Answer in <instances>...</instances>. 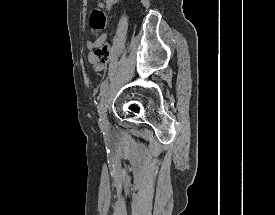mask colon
Wrapping results in <instances>:
<instances>
[{
	"label": "colon",
	"mask_w": 275,
	"mask_h": 215,
	"mask_svg": "<svg viewBox=\"0 0 275 215\" xmlns=\"http://www.w3.org/2000/svg\"><path fill=\"white\" fill-rule=\"evenodd\" d=\"M99 2L105 4V7L107 8H111L117 2V0H99ZM105 20L106 18L103 11L99 8H96L90 14L89 25L93 31H99L103 28ZM94 55L99 63L107 64L110 57L109 47L104 43L100 44L95 49Z\"/></svg>",
	"instance_id": "colon-1"
}]
</instances>
